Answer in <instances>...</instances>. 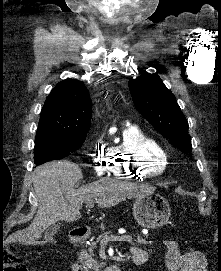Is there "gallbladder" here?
I'll use <instances>...</instances> for the list:
<instances>
[{"mask_svg": "<svg viewBox=\"0 0 221 271\" xmlns=\"http://www.w3.org/2000/svg\"><path fill=\"white\" fill-rule=\"evenodd\" d=\"M58 231H60V225H57V223L49 225V227H47V229H45L43 233L45 241H52L53 235H55V233H58Z\"/></svg>", "mask_w": 221, "mask_h": 271, "instance_id": "1", "label": "gallbladder"}]
</instances>
